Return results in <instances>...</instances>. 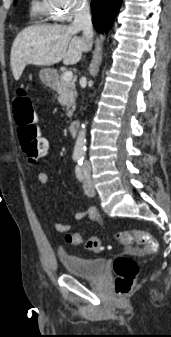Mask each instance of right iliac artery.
Returning <instances> with one entry per match:
<instances>
[{
  "label": "right iliac artery",
  "mask_w": 171,
  "mask_h": 337,
  "mask_svg": "<svg viewBox=\"0 0 171 337\" xmlns=\"http://www.w3.org/2000/svg\"><path fill=\"white\" fill-rule=\"evenodd\" d=\"M82 158L81 157H79V156H74V160L75 161H79V160H81Z\"/></svg>",
  "instance_id": "right-iliac-artery-1"
}]
</instances>
